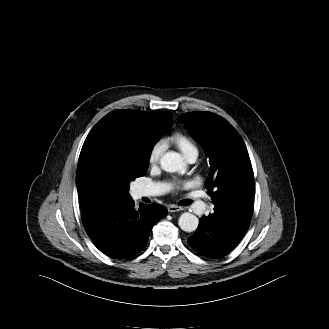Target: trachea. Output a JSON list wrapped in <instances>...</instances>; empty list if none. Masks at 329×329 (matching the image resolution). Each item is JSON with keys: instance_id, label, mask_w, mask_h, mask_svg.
<instances>
[{"instance_id": "trachea-1", "label": "trachea", "mask_w": 329, "mask_h": 329, "mask_svg": "<svg viewBox=\"0 0 329 329\" xmlns=\"http://www.w3.org/2000/svg\"><path fill=\"white\" fill-rule=\"evenodd\" d=\"M190 203H191V200H185V201L183 202V205H184V206H188V205H190Z\"/></svg>"}]
</instances>
